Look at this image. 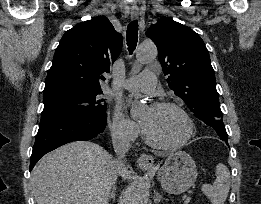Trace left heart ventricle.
Returning <instances> with one entry per match:
<instances>
[{
    "instance_id": "b2bd125f",
    "label": "left heart ventricle",
    "mask_w": 261,
    "mask_h": 204,
    "mask_svg": "<svg viewBox=\"0 0 261 204\" xmlns=\"http://www.w3.org/2000/svg\"><path fill=\"white\" fill-rule=\"evenodd\" d=\"M140 120L145 129L158 142L174 144L184 138L187 125L182 115L172 108L147 107Z\"/></svg>"
}]
</instances>
